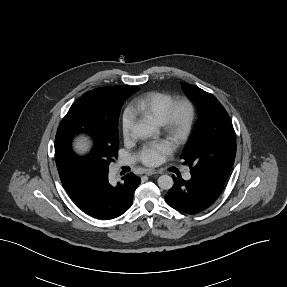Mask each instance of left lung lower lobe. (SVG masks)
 Segmentation results:
<instances>
[{
    "mask_svg": "<svg viewBox=\"0 0 287 287\" xmlns=\"http://www.w3.org/2000/svg\"><path fill=\"white\" fill-rule=\"evenodd\" d=\"M191 173V179L173 176L175 184L165 195L166 202L174 209L195 214L207 209L218 198L224 184L199 172Z\"/></svg>",
    "mask_w": 287,
    "mask_h": 287,
    "instance_id": "left-lung-lower-lobe-1",
    "label": "left lung lower lobe"
}]
</instances>
